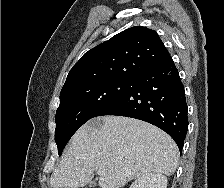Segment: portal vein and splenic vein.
Here are the masks:
<instances>
[{"mask_svg": "<svg viewBox=\"0 0 224 188\" xmlns=\"http://www.w3.org/2000/svg\"><path fill=\"white\" fill-rule=\"evenodd\" d=\"M97 174H98L99 176H101V175H103V174H104V171H103V170H101V169H99V170H97Z\"/></svg>", "mask_w": 224, "mask_h": 188, "instance_id": "obj_1", "label": "portal vein and splenic vein"}]
</instances>
